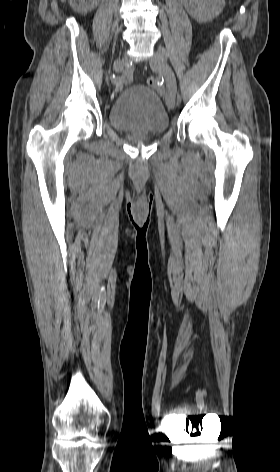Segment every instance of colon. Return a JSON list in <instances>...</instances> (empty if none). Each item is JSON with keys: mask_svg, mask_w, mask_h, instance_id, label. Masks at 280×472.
<instances>
[{"mask_svg": "<svg viewBox=\"0 0 280 472\" xmlns=\"http://www.w3.org/2000/svg\"><path fill=\"white\" fill-rule=\"evenodd\" d=\"M147 84L152 88H156L159 86V81L154 77H149L147 79Z\"/></svg>", "mask_w": 280, "mask_h": 472, "instance_id": "obj_1", "label": "colon"}]
</instances>
